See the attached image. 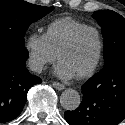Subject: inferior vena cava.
I'll list each match as a JSON object with an SVG mask.
<instances>
[{"instance_id": "inferior-vena-cava-1", "label": "inferior vena cava", "mask_w": 125, "mask_h": 125, "mask_svg": "<svg viewBox=\"0 0 125 125\" xmlns=\"http://www.w3.org/2000/svg\"><path fill=\"white\" fill-rule=\"evenodd\" d=\"M28 65L32 71H35L37 73H41L43 70V64L41 62L31 60V61H29Z\"/></svg>"}]
</instances>
